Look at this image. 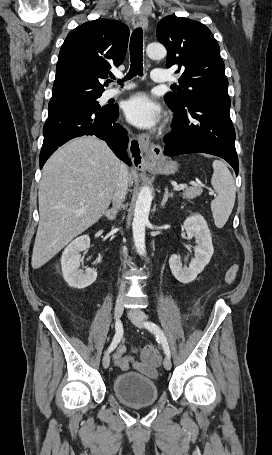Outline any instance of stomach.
Segmentation results:
<instances>
[{"mask_svg":"<svg viewBox=\"0 0 272 455\" xmlns=\"http://www.w3.org/2000/svg\"><path fill=\"white\" fill-rule=\"evenodd\" d=\"M148 168L152 171L170 175L178 171V164L175 161L155 160L149 163Z\"/></svg>","mask_w":272,"mask_h":455,"instance_id":"1","label":"stomach"}]
</instances>
